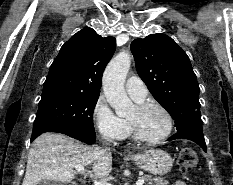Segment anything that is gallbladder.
<instances>
[{"mask_svg":"<svg viewBox=\"0 0 233 185\" xmlns=\"http://www.w3.org/2000/svg\"><path fill=\"white\" fill-rule=\"evenodd\" d=\"M37 185H74V184L62 183L59 181H52V180H42Z\"/></svg>","mask_w":233,"mask_h":185,"instance_id":"1","label":"gallbladder"}]
</instances>
